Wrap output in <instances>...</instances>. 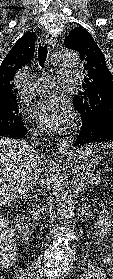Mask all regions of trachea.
<instances>
[{
	"label": "trachea",
	"mask_w": 113,
	"mask_h": 279,
	"mask_svg": "<svg viewBox=\"0 0 113 279\" xmlns=\"http://www.w3.org/2000/svg\"><path fill=\"white\" fill-rule=\"evenodd\" d=\"M47 54H48V46L47 44L45 45H39V48H38V61H39V64L42 68H44L45 66V62H46V59H47Z\"/></svg>",
	"instance_id": "trachea-1"
}]
</instances>
